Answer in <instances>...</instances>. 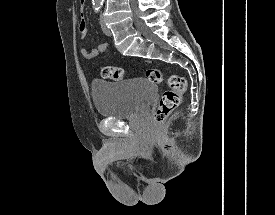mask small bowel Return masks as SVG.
Here are the masks:
<instances>
[{"mask_svg":"<svg viewBox=\"0 0 275 215\" xmlns=\"http://www.w3.org/2000/svg\"><path fill=\"white\" fill-rule=\"evenodd\" d=\"M82 3H84V0L82 1ZM78 31H79L80 39L85 40L88 35V25L84 19H82L81 22L79 23ZM108 46H109L108 43L105 42V43L99 44L96 48H94L92 50H89L86 47H82L80 49V53L84 59L93 60L100 53L105 52L107 50Z\"/></svg>","mask_w":275,"mask_h":215,"instance_id":"obj_1","label":"small bowel"}]
</instances>
